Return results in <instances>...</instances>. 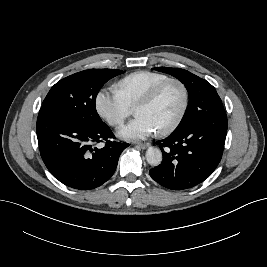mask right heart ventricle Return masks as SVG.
Instances as JSON below:
<instances>
[{"label":"right heart ventricle","mask_w":267,"mask_h":267,"mask_svg":"<svg viewBox=\"0 0 267 267\" xmlns=\"http://www.w3.org/2000/svg\"><path fill=\"white\" fill-rule=\"evenodd\" d=\"M167 78L163 73L135 71L122 77L115 84V91L133 108L155 85Z\"/></svg>","instance_id":"obj_1"}]
</instances>
